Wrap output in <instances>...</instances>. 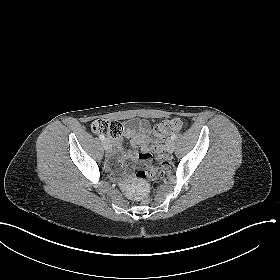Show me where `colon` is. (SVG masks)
<instances>
[{
    "label": "colon",
    "mask_w": 280,
    "mask_h": 280,
    "mask_svg": "<svg viewBox=\"0 0 280 280\" xmlns=\"http://www.w3.org/2000/svg\"><path fill=\"white\" fill-rule=\"evenodd\" d=\"M181 127L182 121L179 118H172L161 122L152 129L149 137L155 143L154 150L157 152L158 165L148 166L145 169L139 170L136 173L138 180L143 181L147 176L158 180L164 176L165 168L168 164L164 153V138L169 133L180 130ZM91 129L94 133L108 135L114 138L122 133V125L119 122L106 119L95 120L91 125ZM140 202L143 205L149 204L150 196L146 193L142 194Z\"/></svg>",
    "instance_id": "5ec220e1"
}]
</instances>
